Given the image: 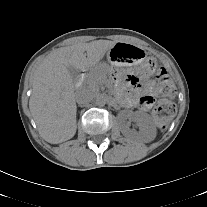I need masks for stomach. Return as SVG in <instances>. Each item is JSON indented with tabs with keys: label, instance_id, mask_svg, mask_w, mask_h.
<instances>
[{
	"label": "stomach",
	"instance_id": "obj_1",
	"mask_svg": "<svg viewBox=\"0 0 207 207\" xmlns=\"http://www.w3.org/2000/svg\"><path fill=\"white\" fill-rule=\"evenodd\" d=\"M107 58L115 66H137L147 62V52L140 47L116 42L108 50Z\"/></svg>",
	"mask_w": 207,
	"mask_h": 207
}]
</instances>
